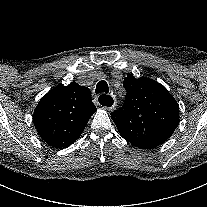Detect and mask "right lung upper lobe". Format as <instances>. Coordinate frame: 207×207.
I'll use <instances>...</instances> for the list:
<instances>
[{
    "mask_svg": "<svg viewBox=\"0 0 207 207\" xmlns=\"http://www.w3.org/2000/svg\"><path fill=\"white\" fill-rule=\"evenodd\" d=\"M95 111L89 88L77 83L57 85L41 98L33 122L48 145L66 148L80 137Z\"/></svg>",
    "mask_w": 207,
    "mask_h": 207,
    "instance_id": "cb5924a9",
    "label": "right lung upper lobe"
}]
</instances>
